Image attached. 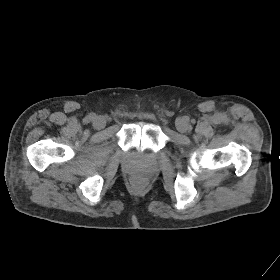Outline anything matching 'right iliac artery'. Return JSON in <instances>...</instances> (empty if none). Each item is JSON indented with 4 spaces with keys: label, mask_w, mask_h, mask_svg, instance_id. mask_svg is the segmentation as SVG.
Instances as JSON below:
<instances>
[{
    "label": "right iliac artery",
    "mask_w": 280,
    "mask_h": 280,
    "mask_svg": "<svg viewBox=\"0 0 280 280\" xmlns=\"http://www.w3.org/2000/svg\"><path fill=\"white\" fill-rule=\"evenodd\" d=\"M94 118H95V115L94 114H90L87 117H85L84 122L88 123V122L92 121Z\"/></svg>",
    "instance_id": "1"
}]
</instances>
